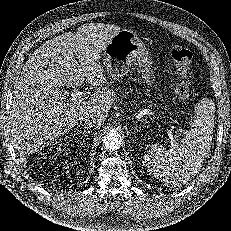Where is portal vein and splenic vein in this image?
<instances>
[{
    "label": "portal vein and splenic vein",
    "instance_id": "portal-vein-and-splenic-vein-1",
    "mask_svg": "<svg viewBox=\"0 0 231 231\" xmlns=\"http://www.w3.org/2000/svg\"><path fill=\"white\" fill-rule=\"evenodd\" d=\"M83 92H81V91H76V92H74L73 94H71V101H76V100H79V101H81V100H83ZM173 142H174V140H173Z\"/></svg>",
    "mask_w": 231,
    "mask_h": 231
}]
</instances>
